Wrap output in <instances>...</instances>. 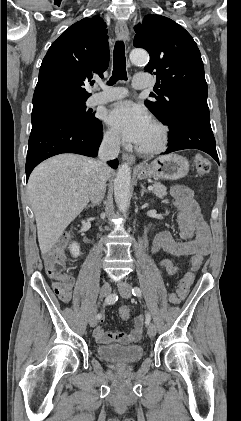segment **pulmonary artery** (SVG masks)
Returning a JSON list of instances; mask_svg holds the SVG:
<instances>
[{
  "label": "pulmonary artery",
  "mask_w": 241,
  "mask_h": 421,
  "mask_svg": "<svg viewBox=\"0 0 241 421\" xmlns=\"http://www.w3.org/2000/svg\"><path fill=\"white\" fill-rule=\"evenodd\" d=\"M152 83L151 79L143 76L136 75L133 79V87L135 89H143L150 86ZM127 89L124 87H112L106 88L102 92L93 94L89 100V105H98L108 103L114 100L122 99L127 96Z\"/></svg>",
  "instance_id": "1"
}]
</instances>
